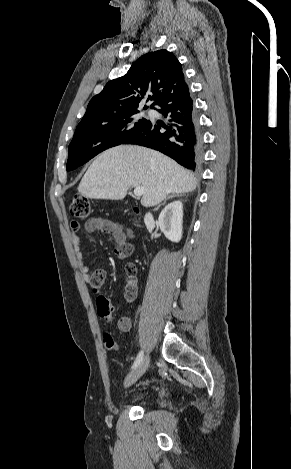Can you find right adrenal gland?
Here are the masks:
<instances>
[{
    "instance_id": "right-adrenal-gland-1",
    "label": "right adrenal gland",
    "mask_w": 291,
    "mask_h": 469,
    "mask_svg": "<svg viewBox=\"0 0 291 469\" xmlns=\"http://www.w3.org/2000/svg\"><path fill=\"white\" fill-rule=\"evenodd\" d=\"M179 196H182V194H172V195L168 196L167 198L164 199L163 203L159 204V205L154 209V211H157V210L160 208L161 205H164V204L166 203V201H167L168 199H172V198H174V197H179Z\"/></svg>"
}]
</instances>
